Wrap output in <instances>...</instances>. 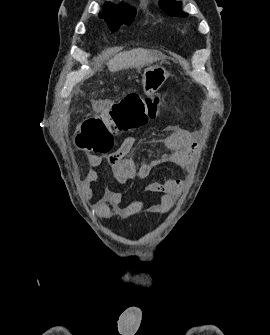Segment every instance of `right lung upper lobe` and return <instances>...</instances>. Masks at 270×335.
<instances>
[{"label": "right lung upper lobe", "instance_id": "1", "mask_svg": "<svg viewBox=\"0 0 270 335\" xmlns=\"http://www.w3.org/2000/svg\"><path fill=\"white\" fill-rule=\"evenodd\" d=\"M118 6H124V4L121 3L120 5H113V4H109V3H107V4L105 5V8H109V7H118Z\"/></svg>", "mask_w": 270, "mask_h": 335}]
</instances>
